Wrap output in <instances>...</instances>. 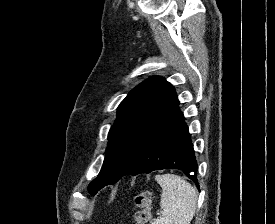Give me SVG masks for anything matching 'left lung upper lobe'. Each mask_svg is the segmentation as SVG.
Instances as JSON below:
<instances>
[{"label": "left lung upper lobe", "instance_id": "1", "mask_svg": "<svg viewBox=\"0 0 275 224\" xmlns=\"http://www.w3.org/2000/svg\"><path fill=\"white\" fill-rule=\"evenodd\" d=\"M178 105L173 86L162 77L152 76L135 87L118 107L102 169L89 192L105 179L123 177L148 137Z\"/></svg>", "mask_w": 275, "mask_h": 224}]
</instances>
